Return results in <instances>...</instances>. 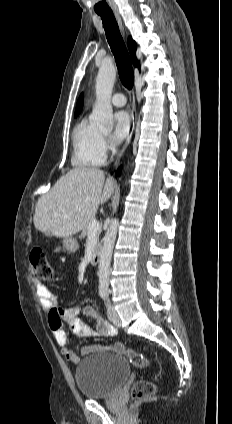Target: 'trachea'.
<instances>
[{"mask_svg":"<svg viewBox=\"0 0 232 424\" xmlns=\"http://www.w3.org/2000/svg\"><path fill=\"white\" fill-rule=\"evenodd\" d=\"M103 21L107 41L115 57L118 74L122 84L131 89L134 84V73L131 60L112 12H97Z\"/></svg>","mask_w":232,"mask_h":424,"instance_id":"3493384b","label":"trachea"}]
</instances>
